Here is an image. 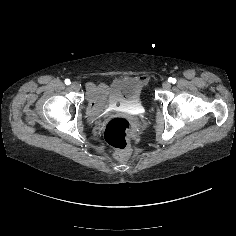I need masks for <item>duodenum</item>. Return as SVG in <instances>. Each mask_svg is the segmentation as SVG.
<instances>
[{"mask_svg":"<svg viewBox=\"0 0 236 236\" xmlns=\"http://www.w3.org/2000/svg\"><path fill=\"white\" fill-rule=\"evenodd\" d=\"M105 94L102 90L92 88L89 92V107L88 112L91 115L99 114L104 107Z\"/></svg>","mask_w":236,"mask_h":236,"instance_id":"1","label":"duodenum"}]
</instances>
